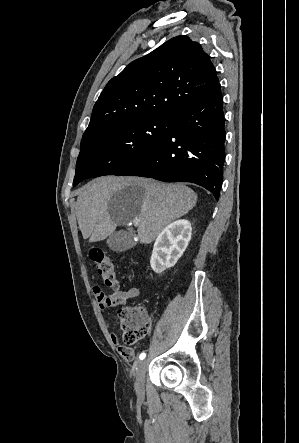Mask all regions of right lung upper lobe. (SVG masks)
Wrapping results in <instances>:
<instances>
[{
  "label": "right lung upper lobe",
  "instance_id": "1",
  "mask_svg": "<svg viewBox=\"0 0 299 443\" xmlns=\"http://www.w3.org/2000/svg\"><path fill=\"white\" fill-rule=\"evenodd\" d=\"M219 82L197 42L177 36L131 62L105 86L83 138L134 119L169 116L207 94Z\"/></svg>",
  "mask_w": 299,
  "mask_h": 443
}]
</instances>
